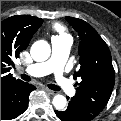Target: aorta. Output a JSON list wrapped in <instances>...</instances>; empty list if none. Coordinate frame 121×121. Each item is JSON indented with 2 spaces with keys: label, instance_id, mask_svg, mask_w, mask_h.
I'll list each match as a JSON object with an SVG mask.
<instances>
[{
  "label": "aorta",
  "instance_id": "obj_1",
  "mask_svg": "<svg viewBox=\"0 0 121 121\" xmlns=\"http://www.w3.org/2000/svg\"><path fill=\"white\" fill-rule=\"evenodd\" d=\"M31 57L36 62L46 61L50 57L51 48L47 41L38 40L31 46ZM52 104L57 110H62L67 104V100L63 95H56L53 98Z\"/></svg>",
  "mask_w": 121,
  "mask_h": 121
}]
</instances>
